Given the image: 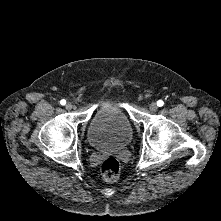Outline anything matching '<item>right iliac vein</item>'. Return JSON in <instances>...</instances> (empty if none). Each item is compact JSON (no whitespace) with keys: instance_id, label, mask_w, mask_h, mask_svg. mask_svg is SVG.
<instances>
[{"instance_id":"right-iliac-vein-1","label":"right iliac vein","mask_w":221,"mask_h":221,"mask_svg":"<svg viewBox=\"0 0 221 221\" xmlns=\"http://www.w3.org/2000/svg\"><path fill=\"white\" fill-rule=\"evenodd\" d=\"M65 108L67 110H71L73 108V104L71 102H68L66 105H65Z\"/></svg>"}]
</instances>
